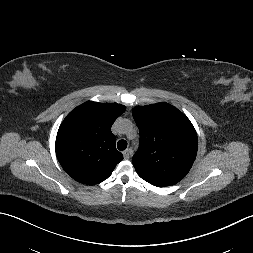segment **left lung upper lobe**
Listing matches in <instances>:
<instances>
[{
  "label": "left lung upper lobe",
  "instance_id": "5c2ea615",
  "mask_svg": "<svg viewBox=\"0 0 253 253\" xmlns=\"http://www.w3.org/2000/svg\"><path fill=\"white\" fill-rule=\"evenodd\" d=\"M132 115L140 131V148L132 159L138 175L157 187L178 183L197 154L190 120L168 103L136 106Z\"/></svg>",
  "mask_w": 253,
  "mask_h": 253
}]
</instances>
